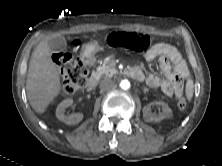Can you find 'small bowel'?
Instances as JSON below:
<instances>
[{
  "label": "small bowel",
  "instance_id": "obj_1",
  "mask_svg": "<svg viewBox=\"0 0 222 166\" xmlns=\"http://www.w3.org/2000/svg\"><path fill=\"white\" fill-rule=\"evenodd\" d=\"M144 58L147 61L155 59L159 61L164 79L153 73L145 76L141 69L135 68L142 74L140 80L145 79L151 88H160L166 96L180 98L183 94V82L188 77L189 70L178 50L169 44L159 43L147 50Z\"/></svg>",
  "mask_w": 222,
  "mask_h": 166
}]
</instances>
